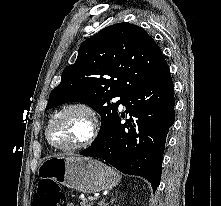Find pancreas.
I'll return each instance as SVG.
<instances>
[{
    "label": "pancreas",
    "instance_id": "cf45deb5",
    "mask_svg": "<svg viewBox=\"0 0 221 206\" xmlns=\"http://www.w3.org/2000/svg\"><path fill=\"white\" fill-rule=\"evenodd\" d=\"M92 202H89L87 199H82L80 206H92Z\"/></svg>",
    "mask_w": 221,
    "mask_h": 206
}]
</instances>
